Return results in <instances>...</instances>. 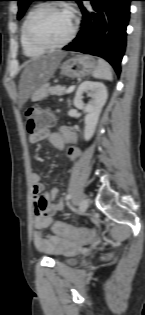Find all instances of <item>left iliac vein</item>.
Wrapping results in <instances>:
<instances>
[{"mask_svg": "<svg viewBox=\"0 0 145 315\" xmlns=\"http://www.w3.org/2000/svg\"><path fill=\"white\" fill-rule=\"evenodd\" d=\"M89 206V200L88 199H82L79 203V213L84 214Z\"/></svg>", "mask_w": 145, "mask_h": 315, "instance_id": "obj_1", "label": "left iliac vein"}]
</instances>
